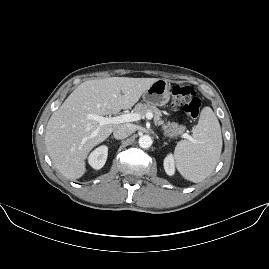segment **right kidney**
Segmentation results:
<instances>
[{"label": "right kidney", "mask_w": 269, "mask_h": 269, "mask_svg": "<svg viewBox=\"0 0 269 269\" xmlns=\"http://www.w3.org/2000/svg\"><path fill=\"white\" fill-rule=\"evenodd\" d=\"M107 155L108 149L106 147L96 149L89 158L90 164L96 169L102 168L107 160Z\"/></svg>", "instance_id": "ca27d5eb"}]
</instances>
